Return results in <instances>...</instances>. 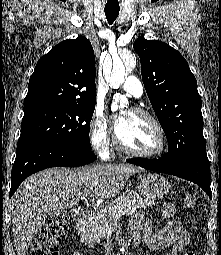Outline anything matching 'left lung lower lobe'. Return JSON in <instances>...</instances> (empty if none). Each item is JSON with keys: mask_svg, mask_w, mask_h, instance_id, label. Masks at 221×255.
<instances>
[{"mask_svg": "<svg viewBox=\"0 0 221 255\" xmlns=\"http://www.w3.org/2000/svg\"><path fill=\"white\" fill-rule=\"evenodd\" d=\"M127 162L139 165L148 170L174 175L199 185L210 198V165L206 152L195 153L183 157L178 161H169L164 157L160 159H127Z\"/></svg>", "mask_w": 221, "mask_h": 255, "instance_id": "left-lung-lower-lobe-1", "label": "left lung lower lobe"}]
</instances>
